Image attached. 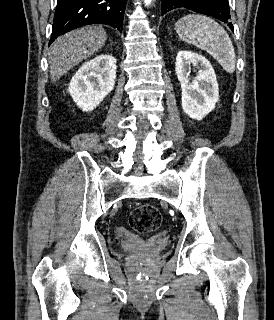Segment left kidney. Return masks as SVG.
<instances>
[{"label": "left kidney", "instance_id": "5707ae66", "mask_svg": "<svg viewBox=\"0 0 274 320\" xmlns=\"http://www.w3.org/2000/svg\"><path fill=\"white\" fill-rule=\"evenodd\" d=\"M191 64L195 78H190ZM175 72L181 84L185 114L193 120H203L219 100L217 78L210 62L200 54L181 50L176 56Z\"/></svg>", "mask_w": 274, "mask_h": 320}]
</instances>
